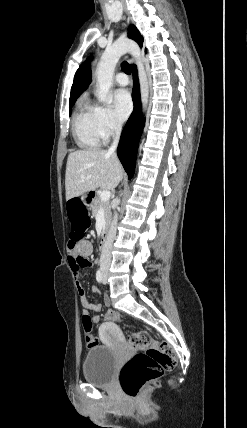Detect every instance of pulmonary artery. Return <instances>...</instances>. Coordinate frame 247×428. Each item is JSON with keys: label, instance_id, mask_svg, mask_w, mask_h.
<instances>
[{"label": "pulmonary artery", "instance_id": "1", "mask_svg": "<svg viewBox=\"0 0 247 428\" xmlns=\"http://www.w3.org/2000/svg\"><path fill=\"white\" fill-rule=\"evenodd\" d=\"M115 81L120 86H127L129 84L128 77L122 72L116 74Z\"/></svg>", "mask_w": 247, "mask_h": 428}]
</instances>
